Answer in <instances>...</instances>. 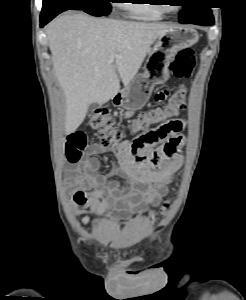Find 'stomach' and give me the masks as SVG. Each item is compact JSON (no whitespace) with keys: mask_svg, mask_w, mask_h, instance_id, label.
Listing matches in <instances>:
<instances>
[{"mask_svg":"<svg viewBox=\"0 0 246 300\" xmlns=\"http://www.w3.org/2000/svg\"><path fill=\"white\" fill-rule=\"evenodd\" d=\"M199 35L188 27H172L154 42L145 64V71L137 75L131 84L118 91L112 98L114 106L126 110H138L149 101L156 84L167 81L168 64L181 49L197 43Z\"/></svg>","mask_w":246,"mask_h":300,"instance_id":"stomach-1","label":"stomach"}]
</instances>
